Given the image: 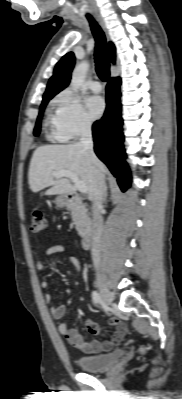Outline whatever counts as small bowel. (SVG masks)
<instances>
[{
	"mask_svg": "<svg viewBox=\"0 0 182 399\" xmlns=\"http://www.w3.org/2000/svg\"><path fill=\"white\" fill-rule=\"evenodd\" d=\"M46 257H55V258H63L74 265L75 269L80 272L81 265L78 258L74 255L67 254L65 252V248L62 245H55L51 246L44 252L41 259H39L36 263V267L38 270H44L45 263L43 258ZM41 287L47 289L49 287L48 281H42ZM45 300L48 304L52 303V296L51 294L47 293L45 295ZM65 307L61 304H54L50 308L51 316L55 320H61L65 315ZM109 324L113 326L115 329L111 335V339L108 341H92L88 342L84 340L79 333L68 326L66 322H61L58 326V330L60 334L70 343L71 345L75 346L79 350H81L85 354L93 355L100 352L109 351L112 347L119 342L120 338L125 329V325L123 322L116 316L110 318ZM86 328L87 331L92 335H99L103 329L97 323L92 320H86Z\"/></svg>",
	"mask_w": 182,
	"mask_h": 399,
	"instance_id": "1",
	"label": "small bowel"
}]
</instances>
